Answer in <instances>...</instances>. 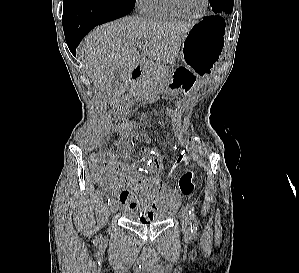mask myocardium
<instances>
[{
	"label": "myocardium",
	"mask_w": 299,
	"mask_h": 273,
	"mask_svg": "<svg viewBox=\"0 0 299 273\" xmlns=\"http://www.w3.org/2000/svg\"><path fill=\"white\" fill-rule=\"evenodd\" d=\"M172 8L178 13L180 14L181 16L185 17V18H188V19H198V18H201L204 16V14L206 13L208 7H209V2L210 0H204V6H203V9L197 13V14H188L186 13L182 7L180 6L179 4V1L178 0H169Z\"/></svg>",
	"instance_id": "1"
}]
</instances>
